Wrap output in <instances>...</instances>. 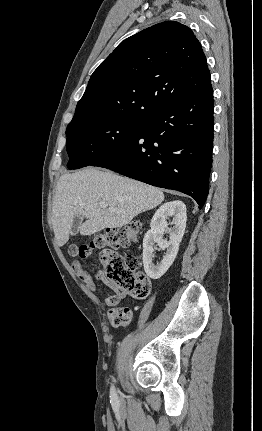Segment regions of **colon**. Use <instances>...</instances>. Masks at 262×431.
<instances>
[{"instance_id": "5ec220e1", "label": "colon", "mask_w": 262, "mask_h": 431, "mask_svg": "<svg viewBox=\"0 0 262 431\" xmlns=\"http://www.w3.org/2000/svg\"><path fill=\"white\" fill-rule=\"evenodd\" d=\"M137 230L138 227L134 224L110 229L97 234L87 243L71 245L69 253L73 257L88 259L95 251H104L101 259L103 280L114 288L127 291L134 299H145L150 291V282L148 277L138 270L139 259L111 252L114 249L128 247L133 243L137 237ZM73 267L78 274L86 271L78 259L74 261ZM130 319L131 312L127 308L118 310L110 317L114 327L125 326Z\"/></svg>"}]
</instances>
